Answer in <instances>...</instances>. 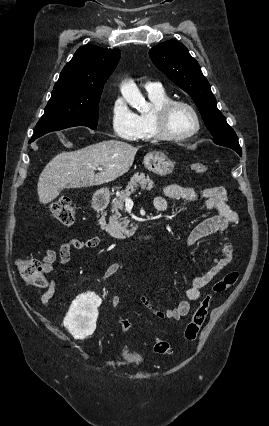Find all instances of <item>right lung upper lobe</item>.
<instances>
[{
    "label": "right lung upper lobe",
    "mask_w": 269,
    "mask_h": 426,
    "mask_svg": "<svg viewBox=\"0 0 269 426\" xmlns=\"http://www.w3.org/2000/svg\"><path fill=\"white\" fill-rule=\"evenodd\" d=\"M119 49H106L95 45L80 47L63 68L52 93L68 97L99 96L106 80L114 71Z\"/></svg>",
    "instance_id": "obj_1"
}]
</instances>
